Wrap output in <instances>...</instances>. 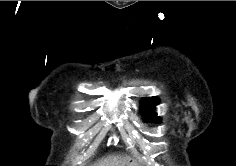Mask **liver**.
<instances>
[{
	"mask_svg": "<svg viewBox=\"0 0 236 166\" xmlns=\"http://www.w3.org/2000/svg\"><path fill=\"white\" fill-rule=\"evenodd\" d=\"M129 160L128 157H121L119 155H110L106 158L101 159L93 166H118L121 162Z\"/></svg>",
	"mask_w": 236,
	"mask_h": 166,
	"instance_id": "1",
	"label": "liver"
}]
</instances>
